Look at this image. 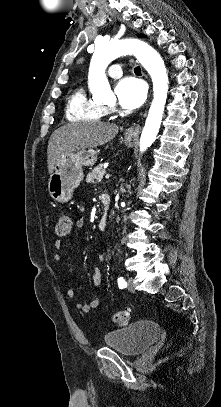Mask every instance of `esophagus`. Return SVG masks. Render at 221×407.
<instances>
[{
  "instance_id": "34e87169",
  "label": "esophagus",
  "mask_w": 221,
  "mask_h": 407,
  "mask_svg": "<svg viewBox=\"0 0 221 407\" xmlns=\"http://www.w3.org/2000/svg\"><path fill=\"white\" fill-rule=\"evenodd\" d=\"M140 126L139 125H133L127 130L128 136H135L139 133Z\"/></svg>"
}]
</instances>
